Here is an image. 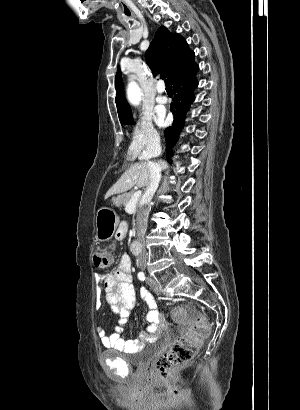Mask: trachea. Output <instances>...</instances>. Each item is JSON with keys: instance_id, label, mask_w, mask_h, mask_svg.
I'll use <instances>...</instances> for the list:
<instances>
[{"instance_id": "trachea-1", "label": "trachea", "mask_w": 300, "mask_h": 410, "mask_svg": "<svg viewBox=\"0 0 300 410\" xmlns=\"http://www.w3.org/2000/svg\"><path fill=\"white\" fill-rule=\"evenodd\" d=\"M166 91H172L171 83L169 79L165 80Z\"/></svg>"}]
</instances>
